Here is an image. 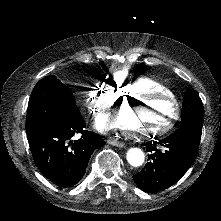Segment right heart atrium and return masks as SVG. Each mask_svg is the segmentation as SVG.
I'll return each instance as SVG.
<instances>
[{"label":"right heart atrium","instance_id":"right-heart-atrium-1","mask_svg":"<svg viewBox=\"0 0 221 221\" xmlns=\"http://www.w3.org/2000/svg\"><path fill=\"white\" fill-rule=\"evenodd\" d=\"M113 76L106 75L98 79L97 85L90 94L89 109L103 113L111 109L118 100L117 90L113 83Z\"/></svg>","mask_w":221,"mask_h":221}]
</instances>
